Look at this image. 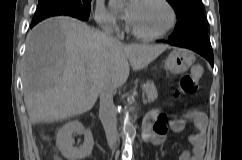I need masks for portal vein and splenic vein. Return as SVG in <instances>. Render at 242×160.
I'll use <instances>...</instances> for the list:
<instances>
[{
    "mask_svg": "<svg viewBox=\"0 0 242 160\" xmlns=\"http://www.w3.org/2000/svg\"><path fill=\"white\" fill-rule=\"evenodd\" d=\"M146 102H147V101L144 99V100H143V103H146Z\"/></svg>",
    "mask_w": 242,
    "mask_h": 160,
    "instance_id": "18ae733b",
    "label": "portal vein and splenic vein"
}]
</instances>
